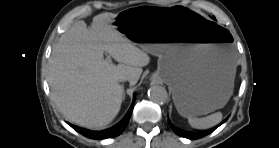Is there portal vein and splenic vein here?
Masks as SVG:
<instances>
[{"instance_id":"1","label":"portal vein and splenic vein","mask_w":279,"mask_h":148,"mask_svg":"<svg viewBox=\"0 0 279 148\" xmlns=\"http://www.w3.org/2000/svg\"><path fill=\"white\" fill-rule=\"evenodd\" d=\"M111 57L110 56H107V58H106V62H108V63H111Z\"/></svg>"}]
</instances>
